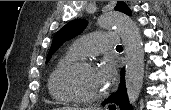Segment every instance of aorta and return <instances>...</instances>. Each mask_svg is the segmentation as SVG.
I'll use <instances>...</instances> for the list:
<instances>
[{
  "label": "aorta",
  "mask_w": 171,
  "mask_h": 110,
  "mask_svg": "<svg viewBox=\"0 0 171 110\" xmlns=\"http://www.w3.org/2000/svg\"><path fill=\"white\" fill-rule=\"evenodd\" d=\"M103 29H115L121 36L126 56L125 85L129 103L138 100L144 77V49L137 24L127 15L113 12L99 20Z\"/></svg>",
  "instance_id": "aorta-1"
}]
</instances>
